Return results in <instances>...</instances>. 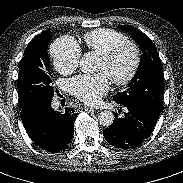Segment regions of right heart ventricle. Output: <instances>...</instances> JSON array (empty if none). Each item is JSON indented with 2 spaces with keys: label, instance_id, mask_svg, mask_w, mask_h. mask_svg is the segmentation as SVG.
I'll list each match as a JSON object with an SVG mask.
<instances>
[{
  "label": "right heart ventricle",
  "instance_id": "e07e8e85",
  "mask_svg": "<svg viewBox=\"0 0 183 183\" xmlns=\"http://www.w3.org/2000/svg\"><path fill=\"white\" fill-rule=\"evenodd\" d=\"M83 41L88 50L102 55L116 45L127 42L128 38L113 29L100 28L86 33Z\"/></svg>",
  "mask_w": 183,
  "mask_h": 183
}]
</instances>
